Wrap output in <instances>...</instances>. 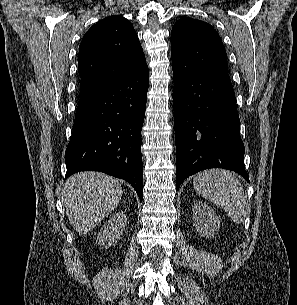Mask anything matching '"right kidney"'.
Returning <instances> with one entry per match:
<instances>
[{"label": "right kidney", "instance_id": "1", "mask_svg": "<svg viewBox=\"0 0 297 305\" xmlns=\"http://www.w3.org/2000/svg\"><path fill=\"white\" fill-rule=\"evenodd\" d=\"M126 226V215L124 212L114 214L102 227L96 242L99 245L110 247L114 245L123 233Z\"/></svg>", "mask_w": 297, "mask_h": 305}]
</instances>
